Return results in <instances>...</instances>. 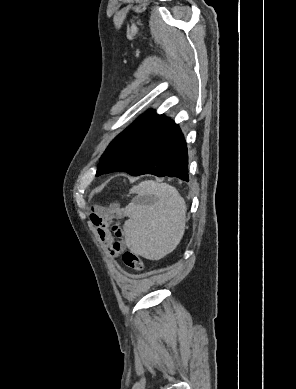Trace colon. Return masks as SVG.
I'll return each mask as SVG.
<instances>
[{
    "label": "colon",
    "instance_id": "colon-1",
    "mask_svg": "<svg viewBox=\"0 0 296 389\" xmlns=\"http://www.w3.org/2000/svg\"><path fill=\"white\" fill-rule=\"evenodd\" d=\"M122 260L128 268L138 272L144 271V263L137 253L125 251L122 255Z\"/></svg>",
    "mask_w": 296,
    "mask_h": 389
}]
</instances>
